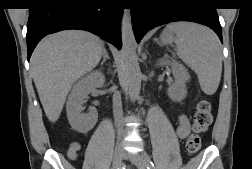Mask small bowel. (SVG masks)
<instances>
[{
  "label": "small bowel",
  "instance_id": "obj_1",
  "mask_svg": "<svg viewBox=\"0 0 252 169\" xmlns=\"http://www.w3.org/2000/svg\"><path fill=\"white\" fill-rule=\"evenodd\" d=\"M189 132H190V125H189L188 119L186 116L181 115L179 117V125L177 128V134L180 138H185L188 136ZM79 149H80L79 143L73 142L71 143L68 152L69 154L73 153L75 155Z\"/></svg>",
  "mask_w": 252,
  "mask_h": 169
}]
</instances>
